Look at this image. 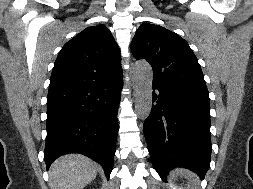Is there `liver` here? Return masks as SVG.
<instances>
[{"instance_id": "6515ba94", "label": "liver", "mask_w": 253, "mask_h": 189, "mask_svg": "<svg viewBox=\"0 0 253 189\" xmlns=\"http://www.w3.org/2000/svg\"><path fill=\"white\" fill-rule=\"evenodd\" d=\"M98 166L91 159L68 154L53 162L50 168L51 189H83L97 175Z\"/></svg>"}]
</instances>
